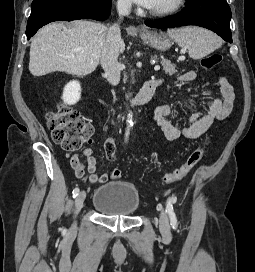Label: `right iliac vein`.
<instances>
[{
    "mask_svg": "<svg viewBox=\"0 0 255 272\" xmlns=\"http://www.w3.org/2000/svg\"><path fill=\"white\" fill-rule=\"evenodd\" d=\"M85 198H86V192L85 191H81L76 199H75V210H74V213L75 215L80 211V209L82 208L83 206V203L85 201Z\"/></svg>",
    "mask_w": 255,
    "mask_h": 272,
    "instance_id": "1",
    "label": "right iliac vein"
}]
</instances>
